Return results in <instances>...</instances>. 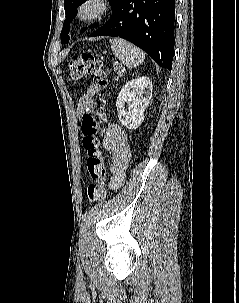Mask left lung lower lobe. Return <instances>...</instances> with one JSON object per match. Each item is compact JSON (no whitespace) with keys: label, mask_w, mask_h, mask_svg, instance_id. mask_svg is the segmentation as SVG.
<instances>
[{"label":"left lung lower lobe","mask_w":239,"mask_h":303,"mask_svg":"<svg viewBox=\"0 0 239 303\" xmlns=\"http://www.w3.org/2000/svg\"><path fill=\"white\" fill-rule=\"evenodd\" d=\"M175 0H123L93 36L124 38L145 51L159 66L172 69Z\"/></svg>","instance_id":"1"}]
</instances>
